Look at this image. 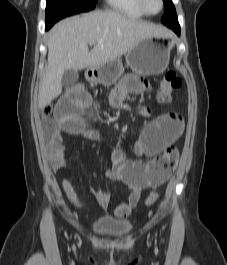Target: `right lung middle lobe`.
Returning a JSON list of instances; mask_svg holds the SVG:
<instances>
[{
  "mask_svg": "<svg viewBox=\"0 0 227 265\" xmlns=\"http://www.w3.org/2000/svg\"><path fill=\"white\" fill-rule=\"evenodd\" d=\"M96 1L97 0H47L46 29H49L61 18L93 9Z\"/></svg>",
  "mask_w": 227,
  "mask_h": 265,
  "instance_id": "right-lung-middle-lobe-1",
  "label": "right lung middle lobe"
}]
</instances>
